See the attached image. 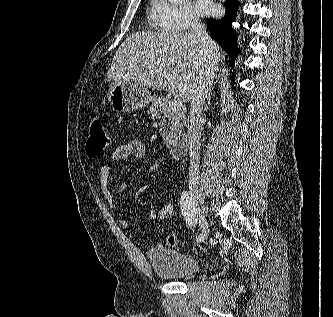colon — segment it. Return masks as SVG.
I'll list each match as a JSON object with an SVG mask.
<instances>
[{"instance_id": "1", "label": "colon", "mask_w": 333, "mask_h": 317, "mask_svg": "<svg viewBox=\"0 0 333 317\" xmlns=\"http://www.w3.org/2000/svg\"><path fill=\"white\" fill-rule=\"evenodd\" d=\"M110 144V137L103 124L96 118L92 119L89 125V135L86 141V153L90 157L100 155ZM175 218V208L173 204L166 203L157 210L156 220L172 224ZM166 242L170 247H176L179 244L177 235L170 231Z\"/></svg>"}]
</instances>
